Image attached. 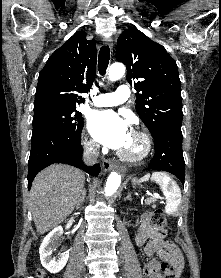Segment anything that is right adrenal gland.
I'll return each instance as SVG.
<instances>
[{"label":"right adrenal gland","mask_w":221,"mask_h":278,"mask_svg":"<svg viewBox=\"0 0 221 278\" xmlns=\"http://www.w3.org/2000/svg\"><path fill=\"white\" fill-rule=\"evenodd\" d=\"M86 197V189L83 190L82 192V196L80 197V199L78 200L77 204H76V209H79V207L81 206V204L84 202Z\"/></svg>","instance_id":"obj_1"}]
</instances>
